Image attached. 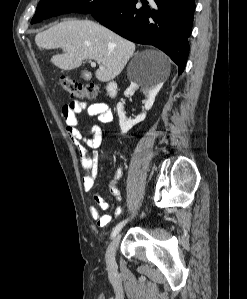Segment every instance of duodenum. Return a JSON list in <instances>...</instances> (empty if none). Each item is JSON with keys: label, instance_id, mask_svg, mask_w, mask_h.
<instances>
[{"label": "duodenum", "instance_id": "410a0bca", "mask_svg": "<svg viewBox=\"0 0 247 299\" xmlns=\"http://www.w3.org/2000/svg\"><path fill=\"white\" fill-rule=\"evenodd\" d=\"M107 92H108V95L110 97H115L117 95V92H118V87H117V84L114 83V82H110L108 85H107Z\"/></svg>", "mask_w": 247, "mask_h": 299}]
</instances>
